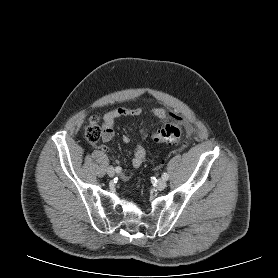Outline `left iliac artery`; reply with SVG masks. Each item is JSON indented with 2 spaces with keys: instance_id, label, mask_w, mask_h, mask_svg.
Here are the masks:
<instances>
[{
  "instance_id": "obj_1",
  "label": "left iliac artery",
  "mask_w": 278,
  "mask_h": 278,
  "mask_svg": "<svg viewBox=\"0 0 278 278\" xmlns=\"http://www.w3.org/2000/svg\"><path fill=\"white\" fill-rule=\"evenodd\" d=\"M162 178H163L164 180H168V174H167L166 172L163 173Z\"/></svg>"
}]
</instances>
